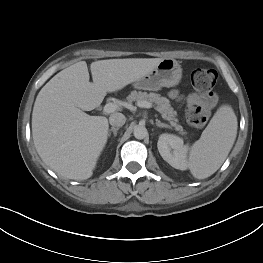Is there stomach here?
I'll return each instance as SVG.
<instances>
[{
	"label": "stomach",
	"mask_w": 263,
	"mask_h": 263,
	"mask_svg": "<svg viewBox=\"0 0 263 263\" xmlns=\"http://www.w3.org/2000/svg\"><path fill=\"white\" fill-rule=\"evenodd\" d=\"M182 78V68L173 58H164L148 74L134 82L136 89L157 91L176 86Z\"/></svg>",
	"instance_id": "stomach-1"
}]
</instances>
